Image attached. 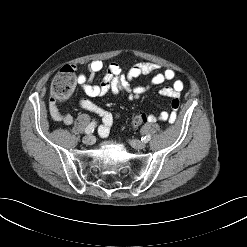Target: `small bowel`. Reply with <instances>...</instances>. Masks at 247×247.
<instances>
[{
	"label": "small bowel",
	"mask_w": 247,
	"mask_h": 247,
	"mask_svg": "<svg viewBox=\"0 0 247 247\" xmlns=\"http://www.w3.org/2000/svg\"><path fill=\"white\" fill-rule=\"evenodd\" d=\"M159 68V65L155 63L139 62L134 64L127 72H124L116 62L105 65L101 60H93L87 64L86 73L81 72L78 74L77 82L84 94L88 97L80 98L78 105L101 118L102 125L99 128V133L102 137L109 135L111 126L117 115L100 107L89 98L100 97L108 92L113 94L126 93L130 100H137L152 87L160 85L165 81L173 80L171 86L162 87L158 91L159 95L172 99L171 112L164 111L158 117L150 116L149 121L153 122L160 119L172 122L175 120L177 108H174L172 103L176 99L179 100L184 83L182 80L176 79V71L174 69L167 68L159 71ZM100 72H104L102 80L99 83H94L95 77ZM142 75H150V82L146 85L133 86L132 81ZM50 114L54 120L66 125L72 124L74 120L72 114L61 113L54 104L50 105Z\"/></svg>",
	"instance_id": "1"
}]
</instances>
